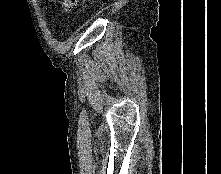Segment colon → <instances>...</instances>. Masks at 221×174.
<instances>
[{"label":"colon","mask_w":221,"mask_h":174,"mask_svg":"<svg viewBox=\"0 0 221 174\" xmlns=\"http://www.w3.org/2000/svg\"><path fill=\"white\" fill-rule=\"evenodd\" d=\"M59 2L68 17H71L73 12L81 6L79 0H59Z\"/></svg>","instance_id":"colon-1"}]
</instances>
